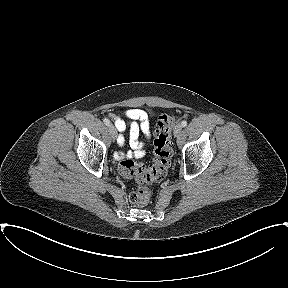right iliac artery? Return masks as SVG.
<instances>
[{"mask_svg": "<svg viewBox=\"0 0 288 288\" xmlns=\"http://www.w3.org/2000/svg\"><path fill=\"white\" fill-rule=\"evenodd\" d=\"M103 122H104V124H106L107 126L110 125V121H109L107 118H104V119H103Z\"/></svg>", "mask_w": 288, "mask_h": 288, "instance_id": "82829eb1", "label": "right iliac artery"}]
</instances>
